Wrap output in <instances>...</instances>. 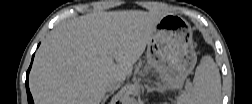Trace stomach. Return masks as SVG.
I'll return each instance as SVG.
<instances>
[{"mask_svg":"<svg viewBox=\"0 0 252 104\" xmlns=\"http://www.w3.org/2000/svg\"><path fill=\"white\" fill-rule=\"evenodd\" d=\"M146 57L169 89L181 88L197 61L188 22L177 16H164L147 44Z\"/></svg>","mask_w":252,"mask_h":104,"instance_id":"0dacf381","label":"stomach"}]
</instances>
